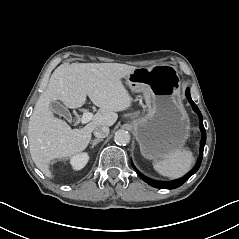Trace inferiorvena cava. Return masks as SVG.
<instances>
[{
    "label": "inferior vena cava",
    "mask_w": 239,
    "mask_h": 239,
    "mask_svg": "<svg viewBox=\"0 0 239 239\" xmlns=\"http://www.w3.org/2000/svg\"><path fill=\"white\" fill-rule=\"evenodd\" d=\"M109 132L108 126H99L94 129V136L97 138H105L109 135Z\"/></svg>",
    "instance_id": "602c4592"
}]
</instances>
